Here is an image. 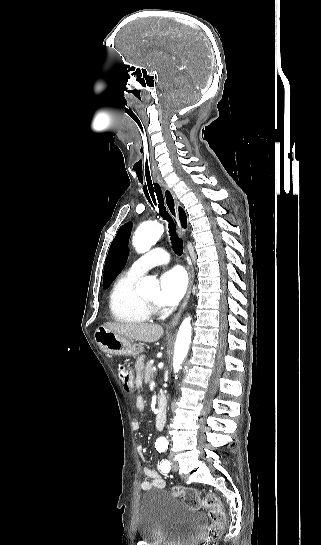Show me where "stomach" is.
I'll return each mask as SVG.
<instances>
[{
  "label": "stomach",
  "mask_w": 321,
  "mask_h": 545,
  "mask_svg": "<svg viewBox=\"0 0 321 545\" xmlns=\"http://www.w3.org/2000/svg\"><path fill=\"white\" fill-rule=\"evenodd\" d=\"M95 341L102 353L107 355H121V357H138L142 353L141 345H136L131 339L111 333L105 327H98L95 331Z\"/></svg>",
  "instance_id": "obj_1"
}]
</instances>
